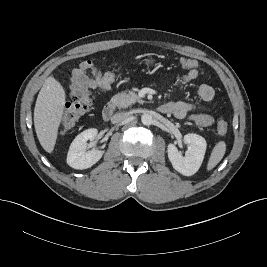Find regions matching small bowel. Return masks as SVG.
Returning <instances> with one entry per match:
<instances>
[{
	"label": "small bowel",
	"instance_id": "small-bowel-1",
	"mask_svg": "<svg viewBox=\"0 0 267 267\" xmlns=\"http://www.w3.org/2000/svg\"><path fill=\"white\" fill-rule=\"evenodd\" d=\"M199 74L200 71L198 69L189 70L181 78V85H185L196 79ZM101 75L102 74L95 67L92 61L86 60L81 62L79 66L72 71L70 77L69 95L72 96L78 91L90 92L94 90ZM214 94V89L208 84H201L197 89V95L203 102H210L213 99ZM166 105L170 108L169 113H172L177 118L183 119L189 117L197 125L202 127H207L214 123V118L207 113L200 112L192 114V112L198 108V105L196 104L184 101H176L168 102Z\"/></svg>",
	"mask_w": 267,
	"mask_h": 267
}]
</instances>
